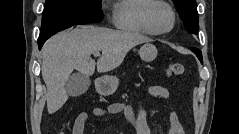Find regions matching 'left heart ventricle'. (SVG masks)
Segmentation results:
<instances>
[{"label":"left heart ventricle","instance_id":"1","mask_svg":"<svg viewBox=\"0 0 239 134\" xmlns=\"http://www.w3.org/2000/svg\"><path fill=\"white\" fill-rule=\"evenodd\" d=\"M153 21L159 30H166L171 26V13L163 6H157L153 12Z\"/></svg>","mask_w":239,"mask_h":134}]
</instances>
